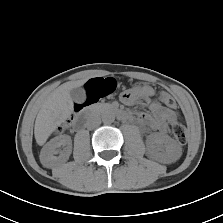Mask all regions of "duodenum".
I'll return each instance as SVG.
<instances>
[{
  "instance_id": "410a0bca",
  "label": "duodenum",
  "mask_w": 223,
  "mask_h": 223,
  "mask_svg": "<svg viewBox=\"0 0 223 223\" xmlns=\"http://www.w3.org/2000/svg\"><path fill=\"white\" fill-rule=\"evenodd\" d=\"M111 110H113L115 112V114L122 120H129L130 116L127 112H125L124 110L113 106L110 107ZM91 113H88L86 116H80L79 118H77L74 123H73V127L76 129H80L82 128L90 119L91 117Z\"/></svg>"
}]
</instances>
